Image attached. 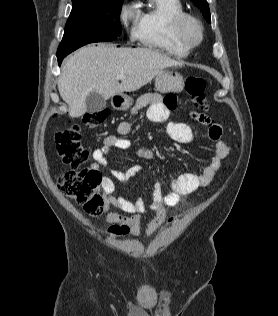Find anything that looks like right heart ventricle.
<instances>
[{
	"label": "right heart ventricle",
	"mask_w": 278,
	"mask_h": 316,
	"mask_svg": "<svg viewBox=\"0 0 278 316\" xmlns=\"http://www.w3.org/2000/svg\"><path fill=\"white\" fill-rule=\"evenodd\" d=\"M186 14L181 0H149L139 11L136 39L141 45L166 52L175 57H186L189 47L180 38L176 21Z\"/></svg>",
	"instance_id": "obj_1"
}]
</instances>
